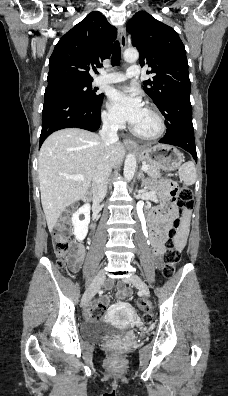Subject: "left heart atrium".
I'll use <instances>...</instances> for the list:
<instances>
[{"instance_id":"left-heart-atrium-1","label":"left heart atrium","mask_w":228,"mask_h":396,"mask_svg":"<svg viewBox=\"0 0 228 396\" xmlns=\"http://www.w3.org/2000/svg\"><path fill=\"white\" fill-rule=\"evenodd\" d=\"M108 108L111 115L119 122L136 125L143 110V102L135 92L119 89L113 90L108 97Z\"/></svg>"}]
</instances>
